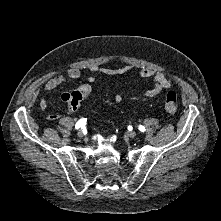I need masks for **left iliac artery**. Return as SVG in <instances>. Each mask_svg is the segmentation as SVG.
<instances>
[{"label": "left iliac artery", "mask_w": 221, "mask_h": 221, "mask_svg": "<svg viewBox=\"0 0 221 221\" xmlns=\"http://www.w3.org/2000/svg\"><path fill=\"white\" fill-rule=\"evenodd\" d=\"M141 132H144L145 131V127L144 126H139V128H138Z\"/></svg>", "instance_id": "left-iliac-artery-1"}]
</instances>
